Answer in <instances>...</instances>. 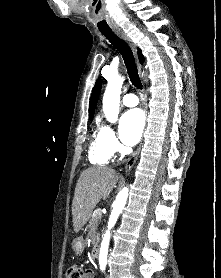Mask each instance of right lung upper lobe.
Segmentation results:
<instances>
[{"instance_id":"right-lung-upper-lobe-1","label":"right lung upper lobe","mask_w":221,"mask_h":278,"mask_svg":"<svg viewBox=\"0 0 221 278\" xmlns=\"http://www.w3.org/2000/svg\"><path fill=\"white\" fill-rule=\"evenodd\" d=\"M138 57H139L140 63H143L144 56L142 55L140 49H138ZM101 86H102L101 80L98 79L93 88L91 99H90V104H89V118L91 120L93 119V116H94V112H95L96 104L98 101Z\"/></svg>"}]
</instances>
